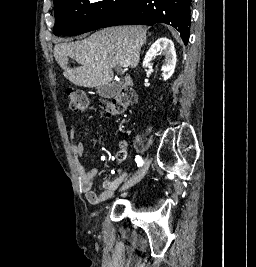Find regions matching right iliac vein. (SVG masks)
<instances>
[{
  "label": "right iliac vein",
  "instance_id": "obj_1",
  "mask_svg": "<svg viewBox=\"0 0 256 267\" xmlns=\"http://www.w3.org/2000/svg\"><path fill=\"white\" fill-rule=\"evenodd\" d=\"M149 159L146 158L144 161V164L142 165V167L139 169V171L133 175L129 180H127L123 186L121 187V191H125L128 188L134 186L135 184H137L141 179H143V177L145 176V174L147 173L148 169H149Z\"/></svg>",
  "mask_w": 256,
  "mask_h": 267
}]
</instances>
